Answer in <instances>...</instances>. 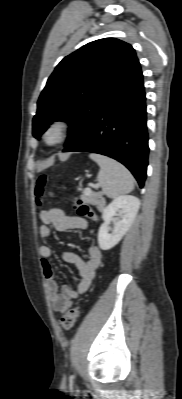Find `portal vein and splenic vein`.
<instances>
[{"label": "portal vein and splenic vein", "instance_id": "portal-vein-and-splenic-vein-1", "mask_svg": "<svg viewBox=\"0 0 182 399\" xmlns=\"http://www.w3.org/2000/svg\"><path fill=\"white\" fill-rule=\"evenodd\" d=\"M85 193H86V194H90V193H91V190H90V189H86V190H85Z\"/></svg>", "mask_w": 182, "mask_h": 399}]
</instances>
